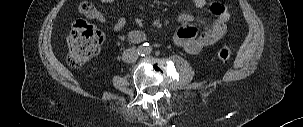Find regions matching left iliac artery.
<instances>
[{"instance_id": "obj_1", "label": "left iliac artery", "mask_w": 303, "mask_h": 127, "mask_svg": "<svg viewBox=\"0 0 303 127\" xmlns=\"http://www.w3.org/2000/svg\"><path fill=\"white\" fill-rule=\"evenodd\" d=\"M143 46L145 48V53L150 54L152 51V47L149 45V43H145Z\"/></svg>"}]
</instances>
